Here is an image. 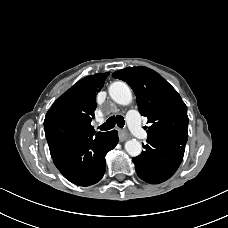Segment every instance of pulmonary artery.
I'll return each instance as SVG.
<instances>
[{
	"instance_id": "e3ab8cb5",
	"label": "pulmonary artery",
	"mask_w": 228,
	"mask_h": 228,
	"mask_svg": "<svg viewBox=\"0 0 228 228\" xmlns=\"http://www.w3.org/2000/svg\"><path fill=\"white\" fill-rule=\"evenodd\" d=\"M127 119L133 134L140 139H146L148 134L141 126L138 112L136 110H130L127 114Z\"/></svg>"
}]
</instances>
